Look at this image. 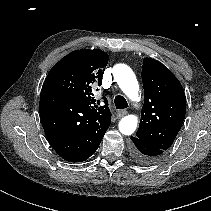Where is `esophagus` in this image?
Instances as JSON below:
<instances>
[{"mask_svg": "<svg viewBox=\"0 0 211 211\" xmlns=\"http://www.w3.org/2000/svg\"><path fill=\"white\" fill-rule=\"evenodd\" d=\"M127 114V111L125 110H120L117 112L116 116L117 118H122L123 116H125Z\"/></svg>", "mask_w": 211, "mask_h": 211, "instance_id": "1", "label": "esophagus"}]
</instances>
